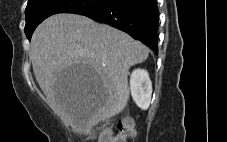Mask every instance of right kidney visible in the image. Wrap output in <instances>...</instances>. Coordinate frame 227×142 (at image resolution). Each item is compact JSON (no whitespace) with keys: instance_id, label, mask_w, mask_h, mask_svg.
I'll list each match as a JSON object with an SVG mask.
<instances>
[{"instance_id":"ca27d5eb","label":"right kidney","mask_w":227,"mask_h":142,"mask_svg":"<svg viewBox=\"0 0 227 142\" xmlns=\"http://www.w3.org/2000/svg\"><path fill=\"white\" fill-rule=\"evenodd\" d=\"M131 95L138 107L148 109L151 102L152 83L146 70L136 69L130 77Z\"/></svg>"}]
</instances>
